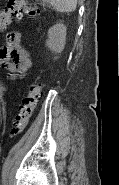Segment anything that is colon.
Instances as JSON below:
<instances>
[{
    "instance_id": "5ec220e1",
    "label": "colon",
    "mask_w": 119,
    "mask_h": 185,
    "mask_svg": "<svg viewBox=\"0 0 119 185\" xmlns=\"http://www.w3.org/2000/svg\"><path fill=\"white\" fill-rule=\"evenodd\" d=\"M39 11L29 6L25 0H8L5 9L0 15V29L4 30L12 21L20 20L23 15L29 18H35ZM42 87L39 84H31L23 102L20 106L19 113L15 119L12 136H17L22 133L29 123L34 110L37 107L41 96Z\"/></svg>"
}]
</instances>
